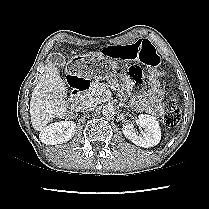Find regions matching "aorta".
<instances>
[{
	"mask_svg": "<svg viewBox=\"0 0 209 209\" xmlns=\"http://www.w3.org/2000/svg\"><path fill=\"white\" fill-rule=\"evenodd\" d=\"M102 114L106 118L113 117L116 114V109L112 104H107L103 107Z\"/></svg>",
	"mask_w": 209,
	"mask_h": 209,
	"instance_id": "762f6f07",
	"label": "aorta"
}]
</instances>
